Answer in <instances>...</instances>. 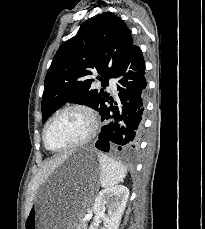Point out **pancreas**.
I'll use <instances>...</instances> for the list:
<instances>
[{"label": "pancreas", "mask_w": 205, "mask_h": 229, "mask_svg": "<svg viewBox=\"0 0 205 229\" xmlns=\"http://www.w3.org/2000/svg\"><path fill=\"white\" fill-rule=\"evenodd\" d=\"M86 229V222L85 221H81L80 225H79V229Z\"/></svg>", "instance_id": "1"}]
</instances>
